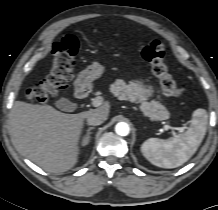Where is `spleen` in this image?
I'll use <instances>...</instances> for the list:
<instances>
[{
	"instance_id": "3e777b00",
	"label": "spleen",
	"mask_w": 218,
	"mask_h": 210,
	"mask_svg": "<svg viewBox=\"0 0 218 210\" xmlns=\"http://www.w3.org/2000/svg\"><path fill=\"white\" fill-rule=\"evenodd\" d=\"M208 115L205 109H196L192 114L190 127L184 133L162 140L149 138L142 146L144 157L161 168H176L187 162L201 144L207 127Z\"/></svg>"
}]
</instances>
